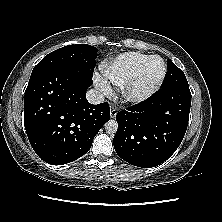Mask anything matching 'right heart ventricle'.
I'll use <instances>...</instances> for the list:
<instances>
[{
    "instance_id": "e07e8e85",
    "label": "right heart ventricle",
    "mask_w": 222,
    "mask_h": 222,
    "mask_svg": "<svg viewBox=\"0 0 222 222\" xmlns=\"http://www.w3.org/2000/svg\"><path fill=\"white\" fill-rule=\"evenodd\" d=\"M151 55L140 52L123 53L102 65L105 78L113 85L124 86Z\"/></svg>"
}]
</instances>
